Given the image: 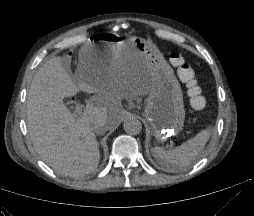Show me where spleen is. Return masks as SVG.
<instances>
[{
	"label": "spleen",
	"mask_w": 254,
	"mask_h": 216,
	"mask_svg": "<svg viewBox=\"0 0 254 216\" xmlns=\"http://www.w3.org/2000/svg\"><path fill=\"white\" fill-rule=\"evenodd\" d=\"M210 134L211 131L205 129L174 149L164 150L161 147H155L152 149V152L161 165L165 166L168 170L176 171L177 169L187 167L204 149Z\"/></svg>",
	"instance_id": "obj_1"
}]
</instances>
